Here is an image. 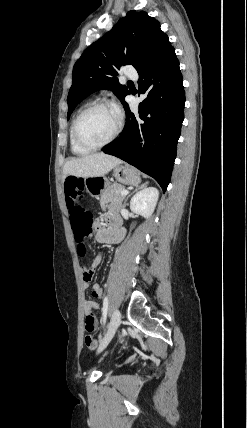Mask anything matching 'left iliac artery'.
<instances>
[{"mask_svg": "<svg viewBox=\"0 0 247 428\" xmlns=\"http://www.w3.org/2000/svg\"><path fill=\"white\" fill-rule=\"evenodd\" d=\"M107 311H108V297L105 296L104 300H103V308H102V312H103L102 321H103V324H105V322H106Z\"/></svg>", "mask_w": 247, "mask_h": 428, "instance_id": "1", "label": "left iliac artery"}]
</instances>
